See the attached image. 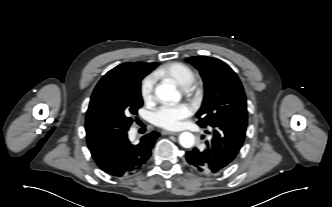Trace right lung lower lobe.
<instances>
[{"label":"right lung lower lobe","instance_id":"98d812e1","mask_svg":"<svg viewBox=\"0 0 332 207\" xmlns=\"http://www.w3.org/2000/svg\"><path fill=\"white\" fill-rule=\"evenodd\" d=\"M127 131L107 130L87 136L88 148L97 165L115 177L139 171L150 158L155 140L160 136L153 131L141 137L138 144H133Z\"/></svg>","mask_w":332,"mask_h":207}]
</instances>
